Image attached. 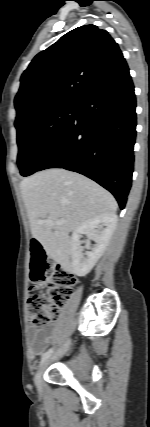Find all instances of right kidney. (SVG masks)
<instances>
[{
    "instance_id": "right-kidney-1",
    "label": "right kidney",
    "mask_w": 150,
    "mask_h": 427,
    "mask_svg": "<svg viewBox=\"0 0 150 427\" xmlns=\"http://www.w3.org/2000/svg\"><path fill=\"white\" fill-rule=\"evenodd\" d=\"M117 215H105L87 220L76 228L71 237V268L77 276L87 275L103 255L117 225ZM95 241L91 251L84 252L81 238Z\"/></svg>"
}]
</instances>
